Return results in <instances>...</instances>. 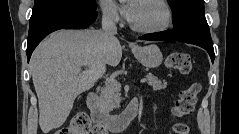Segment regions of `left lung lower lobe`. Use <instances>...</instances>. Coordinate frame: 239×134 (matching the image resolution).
Instances as JSON below:
<instances>
[{"mask_svg":"<svg viewBox=\"0 0 239 134\" xmlns=\"http://www.w3.org/2000/svg\"><path fill=\"white\" fill-rule=\"evenodd\" d=\"M139 38L142 40L180 41L195 44L209 53L212 62L215 58L210 30L206 20H190L178 27H174L172 30L146 34Z\"/></svg>","mask_w":239,"mask_h":134,"instance_id":"left-lung-lower-lobe-1","label":"left lung lower lobe"}]
</instances>
